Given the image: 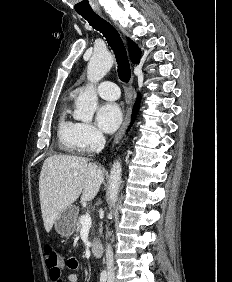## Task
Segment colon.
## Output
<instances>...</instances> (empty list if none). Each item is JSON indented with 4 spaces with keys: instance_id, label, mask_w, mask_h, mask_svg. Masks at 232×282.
Listing matches in <instances>:
<instances>
[{
    "instance_id": "1",
    "label": "colon",
    "mask_w": 232,
    "mask_h": 282,
    "mask_svg": "<svg viewBox=\"0 0 232 282\" xmlns=\"http://www.w3.org/2000/svg\"><path fill=\"white\" fill-rule=\"evenodd\" d=\"M45 262L49 272L53 275H59L61 272V258L52 246L44 248Z\"/></svg>"
}]
</instances>
